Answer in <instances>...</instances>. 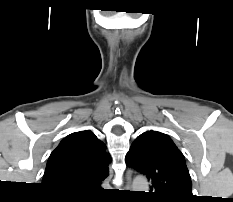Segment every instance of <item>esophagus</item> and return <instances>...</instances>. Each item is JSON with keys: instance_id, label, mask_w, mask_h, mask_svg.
<instances>
[{"instance_id": "34e87169", "label": "esophagus", "mask_w": 233, "mask_h": 202, "mask_svg": "<svg viewBox=\"0 0 233 202\" xmlns=\"http://www.w3.org/2000/svg\"><path fill=\"white\" fill-rule=\"evenodd\" d=\"M131 183V171L128 170L126 174V186L129 187Z\"/></svg>"}]
</instances>
